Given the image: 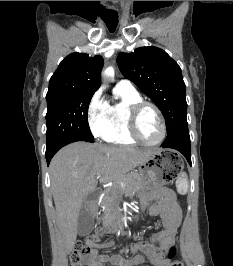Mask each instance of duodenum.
I'll use <instances>...</instances> for the list:
<instances>
[{"label": "duodenum", "instance_id": "410a0bca", "mask_svg": "<svg viewBox=\"0 0 233 266\" xmlns=\"http://www.w3.org/2000/svg\"><path fill=\"white\" fill-rule=\"evenodd\" d=\"M100 195H101V193L99 190L92 191V193L90 194L91 201L97 202L100 198ZM121 223H122V217H120L114 224H112L109 229L115 230L121 225Z\"/></svg>", "mask_w": 233, "mask_h": 266}]
</instances>
